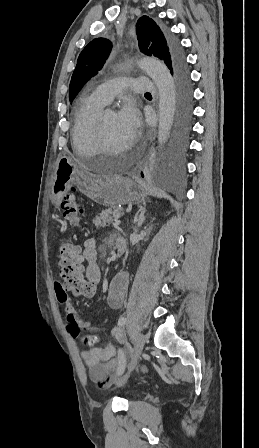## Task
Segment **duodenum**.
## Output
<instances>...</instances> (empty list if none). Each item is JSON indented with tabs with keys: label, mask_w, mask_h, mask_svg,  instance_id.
<instances>
[{
	"label": "duodenum",
	"mask_w": 259,
	"mask_h": 448,
	"mask_svg": "<svg viewBox=\"0 0 259 448\" xmlns=\"http://www.w3.org/2000/svg\"><path fill=\"white\" fill-rule=\"evenodd\" d=\"M117 250L120 254L124 253L125 249H126V244L123 241H119L116 244Z\"/></svg>",
	"instance_id": "obj_1"
}]
</instances>
